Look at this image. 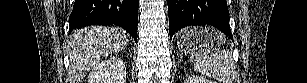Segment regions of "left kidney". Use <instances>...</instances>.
Wrapping results in <instances>:
<instances>
[{"instance_id": "1", "label": "left kidney", "mask_w": 307, "mask_h": 83, "mask_svg": "<svg viewBox=\"0 0 307 83\" xmlns=\"http://www.w3.org/2000/svg\"><path fill=\"white\" fill-rule=\"evenodd\" d=\"M186 83H213V81H210L201 76L191 75L186 79Z\"/></svg>"}]
</instances>
